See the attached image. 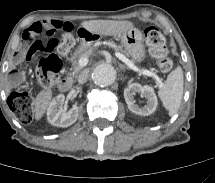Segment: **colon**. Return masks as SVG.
<instances>
[{"label": "colon", "instance_id": "colon-1", "mask_svg": "<svg viewBox=\"0 0 215 183\" xmlns=\"http://www.w3.org/2000/svg\"><path fill=\"white\" fill-rule=\"evenodd\" d=\"M70 31L69 29L63 30L58 37L52 36L53 33L49 31H39L28 38L26 33L23 34L19 51L20 59L25 60L34 53H42L37 64L36 74L44 87H54L60 79L61 62L56 52L67 53L73 48L74 38ZM43 32L49 35L46 41L38 37ZM144 36L146 44L161 71H170L173 67V61L162 33L154 27H148ZM8 103L10 109L21 122L27 123L32 120L33 100L28 91L21 89L13 92L9 96Z\"/></svg>", "mask_w": 215, "mask_h": 183}]
</instances>
